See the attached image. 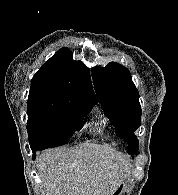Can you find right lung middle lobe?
I'll use <instances>...</instances> for the list:
<instances>
[{"label": "right lung middle lobe", "instance_id": "dd1d6c3e", "mask_svg": "<svg viewBox=\"0 0 178 195\" xmlns=\"http://www.w3.org/2000/svg\"><path fill=\"white\" fill-rule=\"evenodd\" d=\"M93 106L83 102L28 101L27 131L33 153L65 144L73 132L83 127L82 120Z\"/></svg>", "mask_w": 178, "mask_h": 195}]
</instances>
